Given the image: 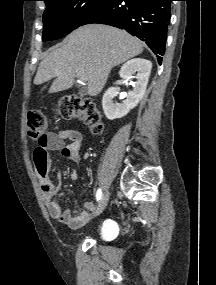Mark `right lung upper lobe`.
I'll list each match as a JSON object with an SVG mask.
<instances>
[{
  "mask_svg": "<svg viewBox=\"0 0 216 285\" xmlns=\"http://www.w3.org/2000/svg\"><path fill=\"white\" fill-rule=\"evenodd\" d=\"M45 3H47L48 1H50V0H43Z\"/></svg>",
  "mask_w": 216,
  "mask_h": 285,
  "instance_id": "obj_1",
  "label": "right lung upper lobe"
}]
</instances>
